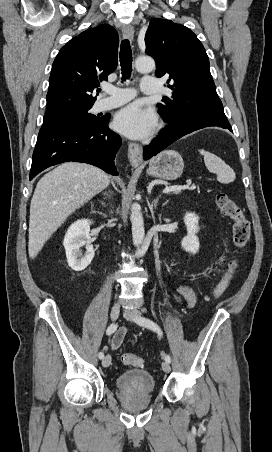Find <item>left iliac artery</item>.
Returning <instances> with one entry per match:
<instances>
[{
    "mask_svg": "<svg viewBox=\"0 0 272 452\" xmlns=\"http://www.w3.org/2000/svg\"><path fill=\"white\" fill-rule=\"evenodd\" d=\"M136 322L142 326H145V327L157 332L159 336H162L161 329L152 320L145 318V317H138V318H136ZM165 361H167L168 363L171 362V358L169 355H165Z\"/></svg>",
    "mask_w": 272,
    "mask_h": 452,
    "instance_id": "1",
    "label": "left iliac artery"
}]
</instances>
